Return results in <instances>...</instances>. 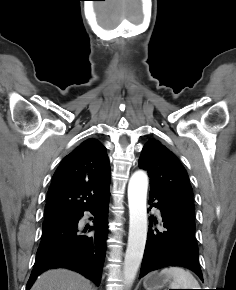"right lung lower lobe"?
Masks as SVG:
<instances>
[{"label":"right lung lower lobe","instance_id":"obj_1","mask_svg":"<svg viewBox=\"0 0 236 290\" xmlns=\"http://www.w3.org/2000/svg\"><path fill=\"white\" fill-rule=\"evenodd\" d=\"M109 197L110 191L99 203L78 212L63 223L42 230L41 242L26 290L31 288L42 272L59 267L77 271L96 285L100 284L107 237ZM85 210L95 216L94 226L81 229L78 222Z\"/></svg>","mask_w":236,"mask_h":290}]
</instances>
